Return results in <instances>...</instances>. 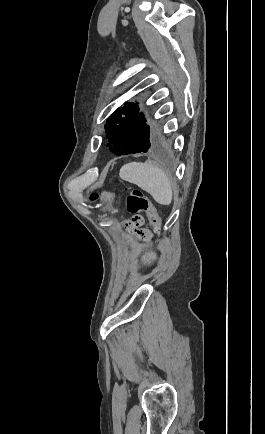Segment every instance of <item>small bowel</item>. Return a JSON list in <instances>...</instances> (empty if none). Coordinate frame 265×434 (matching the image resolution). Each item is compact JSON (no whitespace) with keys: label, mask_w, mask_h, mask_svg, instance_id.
<instances>
[{"label":"small bowel","mask_w":265,"mask_h":434,"mask_svg":"<svg viewBox=\"0 0 265 434\" xmlns=\"http://www.w3.org/2000/svg\"><path fill=\"white\" fill-rule=\"evenodd\" d=\"M144 218L140 215H135L128 223L127 226L129 229L137 233L144 239H149L151 237L150 233L143 229Z\"/></svg>","instance_id":"obj_1"}]
</instances>
